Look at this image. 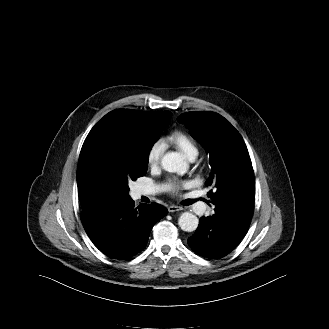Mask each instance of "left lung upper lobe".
I'll list each match as a JSON object with an SVG mask.
<instances>
[{
	"label": "left lung upper lobe",
	"mask_w": 329,
	"mask_h": 329,
	"mask_svg": "<svg viewBox=\"0 0 329 329\" xmlns=\"http://www.w3.org/2000/svg\"><path fill=\"white\" fill-rule=\"evenodd\" d=\"M191 136L209 152L211 166L207 186L211 203H223L249 186L254 172L245 142L239 132L221 115L210 111H193L178 116ZM254 181V179H253Z\"/></svg>",
	"instance_id": "5c2ea615"
}]
</instances>
